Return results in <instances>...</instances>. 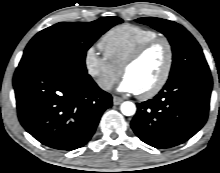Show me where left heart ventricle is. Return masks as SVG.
<instances>
[{
	"label": "left heart ventricle",
	"instance_id": "left-heart-ventricle-1",
	"mask_svg": "<svg viewBox=\"0 0 220 173\" xmlns=\"http://www.w3.org/2000/svg\"><path fill=\"white\" fill-rule=\"evenodd\" d=\"M167 61V49L160 43L149 50L125 73L136 86L138 93L149 90L161 77Z\"/></svg>",
	"mask_w": 220,
	"mask_h": 173
}]
</instances>
